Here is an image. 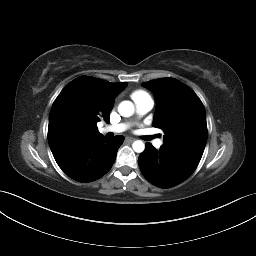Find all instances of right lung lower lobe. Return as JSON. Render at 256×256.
Here are the masks:
<instances>
[{"label":"right lung lower lobe","mask_w":256,"mask_h":256,"mask_svg":"<svg viewBox=\"0 0 256 256\" xmlns=\"http://www.w3.org/2000/svg\"><path fill=\"white\" fill-rule=\"evenodd\" d=\"M123 141V136L107 139L99 135L70 142L52 153L59 167L70 178L83 183L91 182L111 169Z\"/></svg>","instance_id":"98d812e1"}]
</instances>
